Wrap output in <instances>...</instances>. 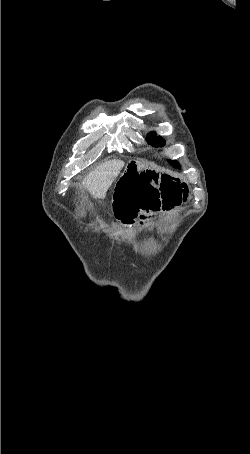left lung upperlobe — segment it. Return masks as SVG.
<instances>
[{
    "label": "left lung upper lobe",
    "instance_id": "1",
    "mask_svg": "<svg viewBox=\"0 0 250 454\" xmlns=\"http://www.w3.org/2000/svg\"><path fill=\"white\" fill-rule=\"evenodd\" d=\"M147 141L149 144L155 146V147H163L165 145V141L161 137H156L155 133H152L149 135L147 138ZM169 162H174V161H169Z\"/></svg>",
    "mask_w": 250,
    "mask_h": 454
}]
</instances>
